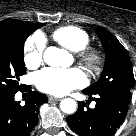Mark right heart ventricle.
<instances>
[{
    "mask_svg": "<svg viewBox=\"0 0 136 136\" xmlns=\"http://www.w3.org/2000/svg\"><path fill=\"white\" fill-rule=\"evenodd\" d=\"M54 40L61 46L77 52L90 43L89 34L80 27L68 25L56 29L53 32Z\"/></svg>",
    "mask_w": 136,
    "mask_h": 136,
    "instance_id": "right-heart-ventricle-1",
    "label": "right heart ventricle"
}]
</instances>
